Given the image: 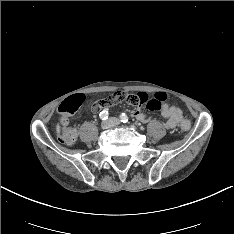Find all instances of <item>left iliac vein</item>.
Here are the masks:
<instances>
[{
	"label": "left iliac vein",
	"mask_w": 234,
	"mask_h": 234,
	"mask_svg": "<svg viewBox=\"0 0 234 234\" xmlns=\"http://www.w3.org/2000/svg\"><path fill=\"white\" fill-rule=\"evenodd\" d=\"M110 122L113 126L119 125V120L117 118H111Z\"/></svg>",
	"instance_id": "4c4485c4"
}]
</instances>
